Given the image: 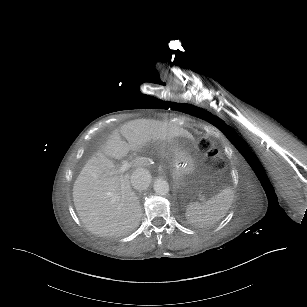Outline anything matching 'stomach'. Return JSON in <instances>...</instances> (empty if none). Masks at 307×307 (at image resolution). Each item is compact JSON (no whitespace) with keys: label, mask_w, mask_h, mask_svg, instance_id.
Masks as SVG:
<instances>
[{"label":"stomach","mask_w":307,"mask_h":307,"mask_svg":"<svg viewBox=\"0 0 307 307\" xmlns=\"http://www.w3.org/2000/svg\"><path fill=\"white\" fill-rule=\"evenodd\" d=\"M199 158V149L196 143L183 138L174 152L173 176L178 185L189 187L195 179V170Z\"/></svg>","instance_id":"stomach-1"}]
</instances>
